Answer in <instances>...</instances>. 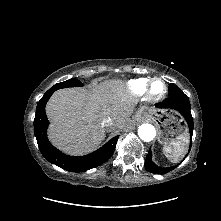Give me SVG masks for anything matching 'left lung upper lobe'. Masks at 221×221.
<instances>
[{
    "label": "left lung upper lobe",
    "mask_w": 221,
    "mask_h": 221,
    "mask_svg": "<svg viewBox=\"0 0 221 221\" xmlns=\"http://www.w3.org/2000/svg\"><path fill=\"white\" fill-rule=\"evenodd\" d=\"M177 94H184V93L177 85L171 83L169 85V96L177 95Z\"/></svg>",
    "instance_id": "left-lung-upper-lobe-1"
}]
</instances>
